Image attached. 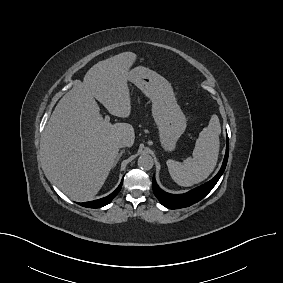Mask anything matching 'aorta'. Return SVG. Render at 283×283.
<instances>
[{
  "mask_svg": "<svg viewBox=\"0 0 283 283\" xmlns=\"http://www.w3.org/2000/svg\"><path fill=\"white\" fill-rule=\"evenodd\" d=\"M153 165V158L148 154H142L138 159V166L143 170H150Z\"/></svg>",
  "mask_w": 283,
  "mask_h": 283,
  "instance_id": "1",
  "label": "aorta"
}]
</instances>
